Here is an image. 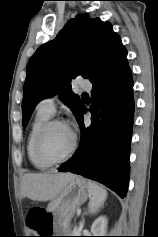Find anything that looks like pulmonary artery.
Segmentation results:
<instances>
[{
    "instance_id": "1",
    "label": "pulmonary artery",
    "mask_w": 158,
    "mask_h": 237,
    "mask_svg": "<svg viewBox=\"0 0 158 237\" xmlns=\"http://www.w3.org/2000/svg\"><path fill=\"white\" fill-rule=\"evenodd\" d=\"M77 87L83 89H91V83L87 79H79L77 81ZM55 96H49L43 98L39 103L37 108L48 114H53L55 112Z\"/></svg>"
}]
</instances>
